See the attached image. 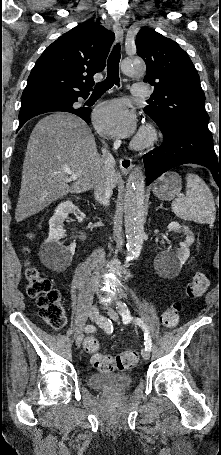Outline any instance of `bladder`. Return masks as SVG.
<instances>
[{
    "label": "bladder",
    "instance_id": "1",
    "mask_svg": "<svg viewBox=\"0 0 221 455\" xmlns=\"http://www.w3.org/2000/svg\"><path fill=\"white\" fill-rule=\"evenodd\" d=\"M132 384V377L126 373H93L88 378L91 389L100 391H123Z\"/></svg>",
    "mask_w": 221,
    "mask_h": 455
}]
</instances>
